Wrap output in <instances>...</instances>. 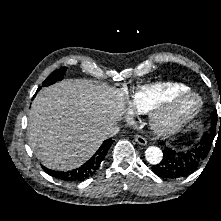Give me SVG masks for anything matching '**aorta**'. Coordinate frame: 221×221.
<instances>
[{
    "label": "aorta",
    "mask_w": 221,
    "mask_h": 221,
    "mask_svg": "<svg viewBox=\"0 0 221 221\" xmlns=\"http://www.w3.org/2000/svg\"><path fill=\"white\" fill-rule=\"evenodd\" d=\"M145 158L150 164H158L163 158V153L160 148L156 146H149L145 151Z\"/></svg>",
    "instance_id": "aorta-1"
}]
</instances>
